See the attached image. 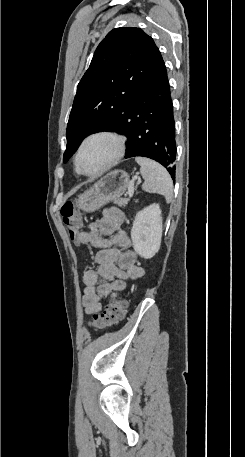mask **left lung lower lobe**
Masks as SVG:
<instances>
[{
	"label": "left lung lower lobe",
	"mask_w": 245,
	"mask_h": 457,
	"mask_svg": "<svg viewBox=\"0 0 245 457\" xmlns=\"http://www.w3.org/2000/svg\"><path fill=\"white\" fill-rule=\"evenodd\" d=\"M128 138L125 158L142 156L159 162L175 180L176 133L166 66L161 57L137 108L111 130Z\"/></svg>",
	"instance_id": "left-lung-lower-lobe-1"
}]
</instances>
